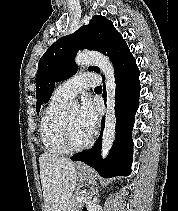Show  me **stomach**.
I'll return each mask as SVG.
<instances>
[{"label":"stomach","instance_id":"1","mask_svg":"<svg viewBox=\"0 0 178 211\" xmlns=\"http://www.w3.org/2000/svg\"><path fill=\"white\" fill-rule=\"evenodd\" d=\"M79 176L82 180H91L93 178V174L89 168L79 170Z\"/></svg>","mask_w":178,"mask_h":211}]
</instances>
